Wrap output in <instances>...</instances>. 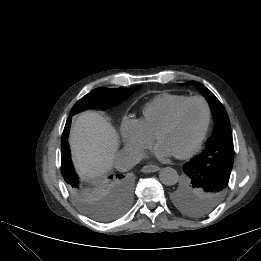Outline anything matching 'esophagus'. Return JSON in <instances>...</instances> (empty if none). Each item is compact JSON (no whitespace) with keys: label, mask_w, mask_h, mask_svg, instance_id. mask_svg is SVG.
<instances>
[{"label":"esophagus","mask_w":261,"mask_h":261,"mask_svg":"<svg viewBox=\"0 0 261 261\" xmlns=\"http://www.w3.org/2000/svg\"><path fill=\"white\" fill-rule=\"evenodd\" d=\"M160 170V167L154 164L146 165L142 168V172L144 173H151V172H157Z\"/></svg>","instance_id":"34e87169"}]
</instances>
